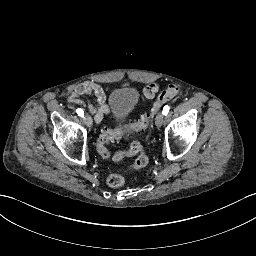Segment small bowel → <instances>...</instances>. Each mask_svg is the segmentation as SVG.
<instances>
[{
  "label": "small bowel",
  "mask_w": 256,
  "mask_h": 256,
  "mask_svg": "<svg viewBox=\"0 0 256 256\" xmlns=\"http://www.w3.org/2000/svg\"><path fill=\"white\" fill-rule=\"evenodd\" d=\"M159 90V86L156 83H151L146 86L143 94L146 98H153ZM93 95L95 97L94 102H88V108L90 113L94 116L97 123L111 113V108L106 103L107 93L99 84L86 81L76 85L67 98L69 104L83 106L85 96Z\"/></svg>",
  "instance_id": "1"
}]
</instances>
